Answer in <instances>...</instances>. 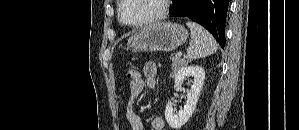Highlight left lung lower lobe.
Instances as JSON below:
<instances>
[{
  "label": "left lung lower lobe",
  "mask_w": 299,
  "mask_h": 130,
  "mask_svg": "<svg viewBox=\"0 0 299 130\" xmlns=\"http://www.w3.org/2000/svg\"><path fill=\"white\" fill-rule=\"evenodd\" d=\"M170 16L188 17L205 27L225 46V21L229 0H173Z\"/></svg>",
  "instance_id": "left-lung-lower-lobe-1"
}]
</instances>
